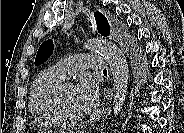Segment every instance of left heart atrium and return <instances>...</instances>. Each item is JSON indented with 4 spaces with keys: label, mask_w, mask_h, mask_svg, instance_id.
<instances>
[{
    "label": "left heart atrium",
    "mask_w": 184,
    "mask_h": 133,
    "mask_svg": "<svg viewBox=\"0 0 184 133\" xmlns=\"http://www.w3.org/2000/svg\"><path fill=\"white\" fill-rule=\"evenodd\" d=\"M75 98L84 112L95 110L100 102V94L96 84L87 78L75 87Z\"/></svg>",
    "instance_id": "39dd6f15"
}]
</instances>
